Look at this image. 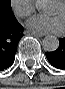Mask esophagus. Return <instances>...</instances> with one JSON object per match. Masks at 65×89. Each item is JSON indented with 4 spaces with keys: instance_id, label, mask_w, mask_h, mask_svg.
I'll return each instance as SVG.
<instances>
[{
    "instance_id": "34e87169",
    "label": "esophagus",
    "mask_w": 65,
    "mask_h": 89,
    "mask_svg": "<svg viewBox=\"0 0 65 89\" xmlns=\"http://www.w3.org/2000/svg\"><path fill=\"white\" fill-rule=\"evenodd\" d=\"M28 33H30V34H33V35H35V36H38V37H43L44 36V34H42V33H37V32H34V31H27Z\"/></svg>"
}]
</instances>
